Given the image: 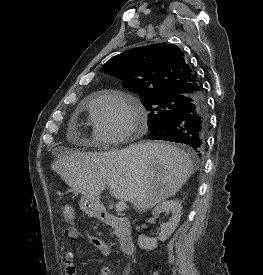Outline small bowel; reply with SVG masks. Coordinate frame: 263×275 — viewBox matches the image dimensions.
Listing matches in <instances>:
<instances>
[{
	"instance_id": "1",
	"label": "small bowel",
	"mask_w": 263,
	"mask_h": 275,
	"mask_svg": "<svg viewBox=\"0 0 263 275\" xmlns=\"http://www.w3.org/2000/svg\"><path fill=\"white\" fill-rule=\"evenodd\" d=\"M65 236L68 240H76L80 238L79 231L71 226L68 227L65 231ZM87 240L90 244L98 249L104 256L110 255V247L100 238L87 234ZM64 271L66 275H77V268L74 263V253L72 251H68L64 258ZM111 269L109 266H103L98 275H110Z\"/></svg>"
}]
</instances>
